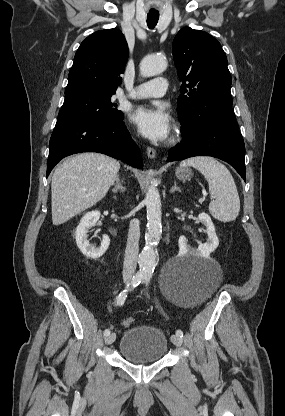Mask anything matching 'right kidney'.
I'll list each match as a JSON object with an SVG mask.
<instances>
[{"mask_svg":"<svg viewBox=\"0 0 285 416\" xmlns=\"http://www.w3.org/2000/svg\"><path fill=\"white\" fill-rule=\"evenodd\" d=\"M100 216L101 214L100 212H97V210H95V212H87V214L81 218L80 224L77 226L75 232V240L80 252H82L83 256H86V258H90V260H98V258H101L106 250H108L110 244V238L109 236H106V234H104L102 238L100 248H95V246L89 244L87 240L88 230H90L92 226H96Z\"/></svg>","mask_w":285,"mask_h":416,"instance_id":"1","label":"right kidney"}]
</instances>
